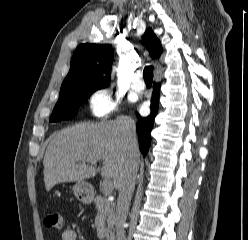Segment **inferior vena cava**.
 I'll return each mask as SVG.
<instances>
[{
  "mask_svg": "<svg viewBox=\"0 0 248 240\" xmlns=\"http://www.w3.org/2000/svg\"><path fill=\"white\" fill-rule=\"evenodd\" d=\"M125 140L128 145V158L118 182V199L116 206L115 230L116 240H126L124 225L129 210L131 197L134 191L135 178L138 171V162L135 157V150L137 149L135 123L131 122L126 127Z\"/></svg>",
  "mask_w": 248,
  "mask_h": 240,
  "instance_id": "obj_1",
  "label": "inferior vena cava"
}]
</instances>
